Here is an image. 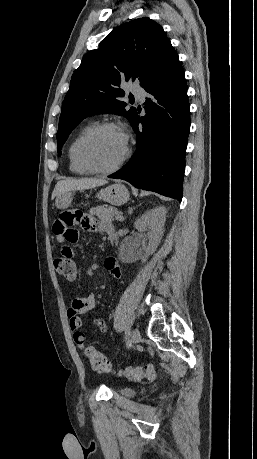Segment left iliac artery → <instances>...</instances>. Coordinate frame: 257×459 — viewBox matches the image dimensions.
Segmentation results:
<instances>
[{
  "label": "left iliac artery",
  "instance_id": "left-iliac-artery-1",
  "mask_svg": "<svg viewBox=\"0 0 257 459\" xmlns=\"http://www.w3.org/2000/svg\"><path fill=\"white\" fill-rule=\"evenodd\" d=\"M125 334H126V335H125V340H128V339H129L130 332L127 330Z\"/></svg>",
  "mask_w": 257,
  "mask_h": 459
}]
</instances>
